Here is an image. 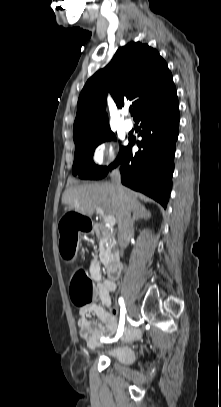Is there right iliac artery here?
I'll return each mask as SVG.
<instances>
[{"label":"right iliac artery","instance_id":"obj_1","mask_svg":"<svg viewBox=\"0 0 221 407\" xmlns=\"http://www.w3.org/2000/svg\"><path fill=\"white\" fill-rule=\"evenodd\" d=\"M119 304L121 307V311H120V320H119V326H118V330H117V334L114 338L109 339L107 338H102L101 341L102 342H115L117 341L121 335L123 334V330H124V324H125V315H126V308H125V304H124V300L123 298H119Z\"/></svg>","mask_w":221,"mask_h":407}]
</instances>
